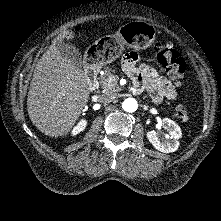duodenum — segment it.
<instances>
[{
    "label": "duodenum",
    "instance_id": "obj_1",
    "mask_svg": "<svg viewBox=\"0 0 221 221\" xmlns=\"http://www.w3.org/2000/svg\"><path fill=\"white\" fill-rule=\"evenodd\" d=\"M99 68L93 62V59H88L85 66V75L90 86H94L97 82Z\"/></svg>",
    "mask_w": 221,
    "mask_h": 221
}]
</instances>
